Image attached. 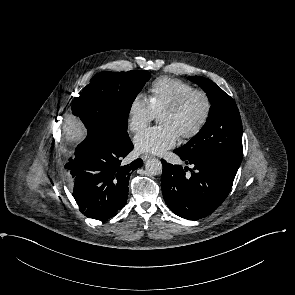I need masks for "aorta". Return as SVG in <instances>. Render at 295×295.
<instances>
[{"instance_id":"obj_1","label":"aorta","mask_w":295,"mask_h":295,"mask_svg":"<svg viewBox=\"0 0 295 295\" xmlns=\"http://www.w3.org/2000/svg\"><path fill=\"white\" fill-rule=\"evenodd\" d=\"M145 169L147 174L151 176L159 175L162 173V163L158 159H149L145 164Z\"/></svg>"}]
</instances>
